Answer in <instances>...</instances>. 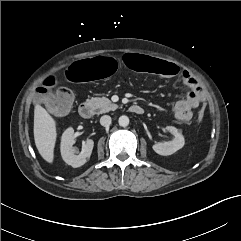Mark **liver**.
<instances>
[{"label": "liver", "instance_id": "1", "mask_svg": "<svg viewBox=\"0 0 241 241\" xmlns=\"http://www.w3.org/2000/svg\"><path fill=\"white\" fill-rule=\"evenodd\" d=\"M56 122L39 104L34 109V140L39 154L48 162L53 163L56 142Z\"/></svg>", "mask_w": 241, "mask_h": 241}]
</instances>
